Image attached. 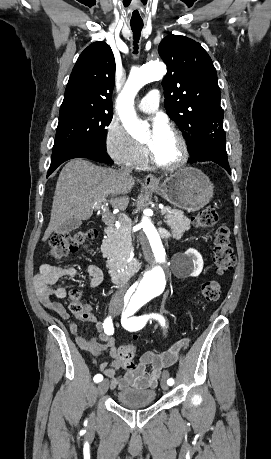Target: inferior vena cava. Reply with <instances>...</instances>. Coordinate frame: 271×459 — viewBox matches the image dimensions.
Returning a JSON list of instances; mask_svg holds the SVG:
<instances>
[{
    "label": "inferior vena cava",
    "instance_id": "obj_1",
    "mask_svg": "<svg viewBox=\"0 0 271 459\" xmlns=\"http://www.w3.org/2000/svg\"><path fill=\"white\" fill-rule=\"evenodd\" d=\"M119 172H121V174H131L132 170H131V168H121V170H119ZM125 291H126V287H120V289H118V291H116L115 297H120V299H122Z\"/></svg>",
    "mask_w": 271,
    "mask_h": 459
}]
</instances>
